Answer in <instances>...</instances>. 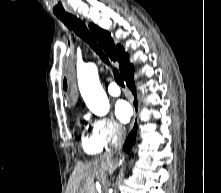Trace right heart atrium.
Wrapping results in <instances>:
<instances>
[{
    "label": "right heart atrium",
    "mask_w": 221,
    "mask_h": 193,
    "mask_svg": "<svg viewBox=\"0 0 221 193\" xmlns=\"http://www.w3.org/2000/svg\"><path fill=\"white\" fill-rule=\"evenodd\" d=\"M93 136L105 147L122 139L124 127L112 117H98L91 120Z\"/></svg>",
    "instance_id": "right-heart-atrium-1"
}]
</instances>
